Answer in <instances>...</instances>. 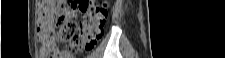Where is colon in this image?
Here are the masks:
<instances>
[{
	"label": "colon",
	"mask_w": 225,
	"mask_h": 58,
	"mask_svg": "<svg viewBox=\"0 0 225 58\" xmlns=\"http://www.w3.org/2000/svg\"><path fill=\"white\" fill-rule=\"evenodd\" d=\"M75 4L83 13L72 20ZM107 7L95 0L38 1L37 40L41 58H63L65 53L90 50L101 38L107 19Z\"/></svg>",
	"instance_id": "5ec220e1"
}]
</instances>
